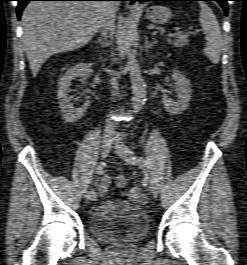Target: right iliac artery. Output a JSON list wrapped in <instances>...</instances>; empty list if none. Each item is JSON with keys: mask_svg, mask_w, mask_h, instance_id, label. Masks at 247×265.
I'll use <instances>...</instances> for the list:
<instances>
[{"mask_svg": "<svg viewBox=\"0 0 247 265\" xmlns=\"http://www.w3.org/2000/svg\"><path fill=\"white\" fill-rule=\"evenodd\" d=\"M103 168H104V163H100L97 168H96V175L100 176L103 173ZM89 197L91 198V200L96 201L98 198L97 193L94 190H91L90 192H88Z\"/></svg>", "mask_w": 247, "mask_h": 265, "instance_id": "82829eb1", "label": "right iliac artery"}]
</instances>
